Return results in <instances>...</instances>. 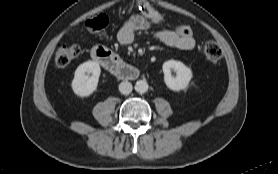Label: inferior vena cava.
Returning a JSON list of instances; mask_svg holds the SVG:
<instances>
[{"instance_id": "inferior-vena-cava-1", "label": "inferior vena cava", "mask_w": 278, "mask_h": 174, "mask_svg": "<svg viewBox=\"0 0 278 174\" xmlns=\"http://www.w3.org/2000/svg\"><path fill=\"white\" fill-rule=\"evenodd\" d=\"M133 87L132 84L130 82H121L119 84V91L124 94V95H128L131 93Z\"/></svg>"}]
</instances>
